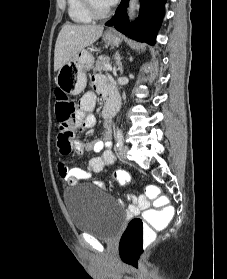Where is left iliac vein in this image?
<instances>
[{
	"mask_svg": "<svg viewBox=\"0 0 227 279\" xmlns=\"http://www.w3.org/2000/svg\"><path fill=\"white\" fill-rule=\"evenodd\" d=\"M128 151H129V147L128 146H122L119 155L121 159H126L128 156Z\"/></svg>",
	"mask_w": 227,
	"mask_h": 279,
	"instance_id": "obj_1",
	"label": "left iliac vein"
}]
</instances>
